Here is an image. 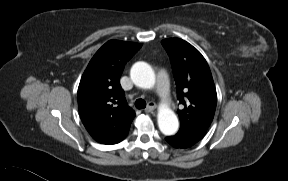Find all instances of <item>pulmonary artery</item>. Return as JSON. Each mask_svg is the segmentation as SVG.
<instances>
[{
  "mask_svg": "<svg viewBox=\"0 0 288 181\" xmlns=\"http://www.w3.org/2000/svg\"><path fill=\"white\" fill-rule=\"evenodd\" d=\"M156 92L164 103H167L171 99L168 79L163 71L159 72L157 75Z\"/></svg>",
  "mask_w": 288,
  "mask_h": 181,
  "instance_id": "pulmonary-artery-1",
  "label": "pulmonary artery"
}]
</instances>
